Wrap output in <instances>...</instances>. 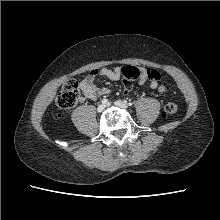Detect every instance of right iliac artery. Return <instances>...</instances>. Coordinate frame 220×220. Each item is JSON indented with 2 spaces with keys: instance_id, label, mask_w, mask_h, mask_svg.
Instances as JSON below:
<instances>
[{
  "instance_id": "right-iliac-artery-1",
  "label": "right iliac artery",
  "mask_w": 220,
  "mask_h": 220,
  "mask_svg": "<svg viewBox=\"0 0 220 220\" xmlns=\"http://www.w3.org/2000/svg\"><path fill=\"white\" fill-rule=\"evenodd\" d=\"M101 102H102V104H107L108 100L107 99H103Z\"/></svg>"
}]
</instances>
